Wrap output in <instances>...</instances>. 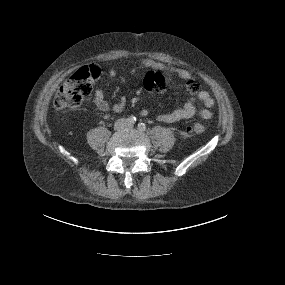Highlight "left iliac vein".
<instances>
[{"label": "left iliac vein", "instance_id": "left-iliac-vein-1", "mask_svg": "<svg viewBox=\"0 0 285 285\" xmlns=\"http://www.w3.org/2000/svg\"><path fill=\"white\" fill-rule=\"evenodd\" d=\"M127 128H128V129H132V128H133V125L128 124V125H127Z\"/></svg>", "mask_w": 285, "mask_h": 285}]
</instances>
